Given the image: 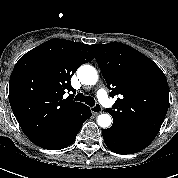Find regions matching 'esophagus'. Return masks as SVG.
<instances>
[{
	"label": "esophagus",
	"instance_id": "34e87169",
	"mask_svg": "<svg viewBox=\"0 0 178 178\" xmlns=\"http://www.w3.org/2000/svg\"><path fill=\"white\" fill-rule=\"evenodd\" d=\"M91 112L94 115H98L102 112V107L99 104H96L95 106L91 107Z\"/></svg>",
	"mask_w": 178,
	"mask_h": 178
}]
</instances>
